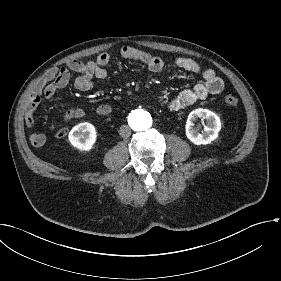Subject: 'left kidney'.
Instances as JSON below:
<instances>
[{
    "label": "left kidney",
    "instance_id": "obj_1",
    "mask_svg": "<svg viewBox=\"0 0 281 281\" xmlns=\"http://www.w3.org/2000/svg\"><path fill=\"white\" fill-rule=\"evenodd\" d=\"M198 118L205 119L207 125L204 127V133H199L195 126V122ZM221 130L220 118L214 112L198 108L190 112L186 122V136L196 145H205L211 143L218 137V133Z\"/></svg>",
    "mask_w": 281,
    "mask_h": 281
}]
</instances>
